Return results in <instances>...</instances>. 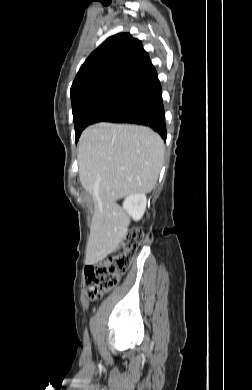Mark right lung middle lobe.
<instances>
[{
	"instance_id": "right-lung-middle-lobe-1",
	"label": "right lung middle lobe",
	"mask_w": 252,
	"mask_h": 390,
	"mask_svg": "<svg viewBox=\"0 0 252 390\" xmlns=\"http://www.w3.org/2000/svg\"><path fill=\"white\" fill-rule=\"evenodd\" d=\"M134 101L133 99L117 97L100 98L89 101L73 110L76 142L88 125L107 120L110 116L130 106Z\"/></svg>"
}]
</instances>
